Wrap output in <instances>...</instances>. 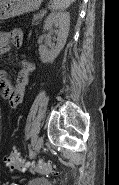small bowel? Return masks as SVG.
I'll list each match as a JSON object with an SVG mask.
<instances>
[{
	"label": "small bowel",
	"mask_w": 119,
	"mask_h": 185,
	"mask_svg": "<svg viewBox=\"0 0 119 185\" xmlns=\"http://www.w3.org/2000/svg\"><path fill=\"white\" fill-rule=\"evenodd\" d=\"M23 40V33L20 29H13L0 34V51L6 53L12 47H20ZM34 70V65L27 59L23 60V69L20 71L15 84H12L7 73L1 70L0 85L2 97L11 107L19 105L24 97L29 78Z\"/></svg>",
	"instance_id": "c3829d8e"
}]
</instances>
